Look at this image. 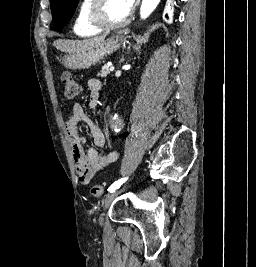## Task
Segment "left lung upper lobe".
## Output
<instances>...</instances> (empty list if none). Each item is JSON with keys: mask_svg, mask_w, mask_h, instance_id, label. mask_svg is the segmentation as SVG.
<instances>
[{"mask_svg": "<svg viewBox=\"0 0 256 267\" xmlns=\"http://www.w3.org/2000/svg\"><path fill=\"white\" fill-rule=\"evenodd\" d=\"M79 0H50L53 24L61 31L71 19Z\"/></svg>", "mask_w": 256, "mask_h": 267, "instance_id": "left-lung-upper-lobe-1", "label": "left lung upper lobe"}]
</instances>
